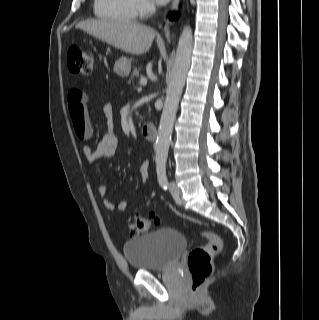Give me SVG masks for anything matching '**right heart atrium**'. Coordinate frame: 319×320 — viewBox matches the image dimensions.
<instances>
[{
  "mask_svg": "<svg viewBox=\"0 0 319 320\" xmlns=\"http://www.w3.org/2000/svg\"><path fill=\"white\" fill-rule=\"evenodd\" d=\"M137 14L140 16H146L152 13L155 9V5L152 0H134Z\"/></svg>",
  "mask_w": 319,
  "mask_h": 320,
  "instance_id": "obj_1",
  "label": "right heart atrium"
}]
</instances>
